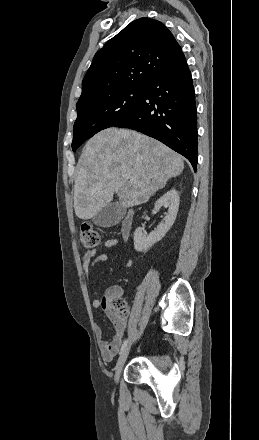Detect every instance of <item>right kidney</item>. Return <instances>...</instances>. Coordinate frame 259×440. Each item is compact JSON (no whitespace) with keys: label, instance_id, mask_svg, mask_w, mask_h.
Here are the masks:
<instances>
[{"label":"right kidney","instance_id":"obj_1","mask_svg":"<svg viewBox=\"0 0 259 440\" xmlns=\"http://www.w3.org/2000/svg\"><path fill=\"white\" fill-rule=\"evenodd\" d=\"M180 197L178 191L171 189L160 197L154 206V210H159L162 206L168 208L163 221L158 225L157 230L150 234H145L144 229L138 227L134 232V248L137 252H145L155 243L160 241L169 231L175 222L179 209ZM144 217V216H143Z\"/></svg>","mask_w":259,"mask_h":440}]
</instances>
